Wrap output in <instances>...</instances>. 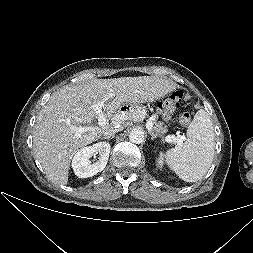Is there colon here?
Wrapping results in <instances>:
<instances>
[{
  "mask_svg": "<svg viewBox=\"0 0 253 253\" xmlns=\"http://www.w3.org/2000/svg\"><path fill=\"white\" fill-rule=\"evenodd\" d=\"M183 97V91L177 90L173 92L169 97L165 99L166 110H172L176 108ZM179 121L182 125L186 126L190 122V115L188 113H182Z\"/></svg>",
  "mask_w": 253,
  "mask_h": 253,
  "instance_id": "1",
  "label": "colon"
}]
</instances>
